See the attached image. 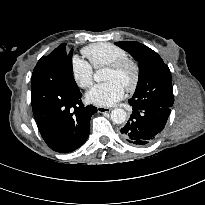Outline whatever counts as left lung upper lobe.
Returning a JSON list of instances; mask_svg holds the SVG:
<instances>
[{"mask_svg": "<svg viewBox=\"0 0 205 205\" xmlns=\"http://www.w3.org/2000/svg\"><path fill=\"white\" fill-rule=\"evenodd\" d=\"M115 44L138 61V84L133 97L128 102L133 105L171 107L173 104L171 74L161 57L139 42L123 41Z\"/></svg>", "mask_w": 205, "mask_h": 205, "instance_id": "obj_1", "label": "left lung upper lobe"}]
</instances>
